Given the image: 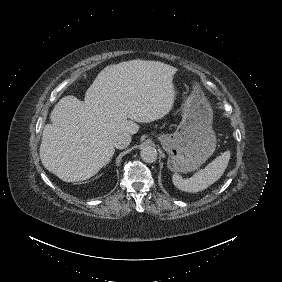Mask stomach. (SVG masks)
I'll use <instances>...</instances> for the list:
<instances>
[{
	"label": "stomach",
	"mask_w": 282,
	"mask_h": 282,
	"mask_svg": "<svg viewBox=\"0 0 282 282\" xmlns=\"http://www.w3.org/2000/svg\"><path fill=\"white\" fill-rule=\"evenodd\" d=\"M214 112L200 85L191 84L181 106V122L172 134L160 140L168 153V167L173 171H193L215 151Z\"/></svg>",
	"instance_id": "stomach-1"
}]
</instances>
